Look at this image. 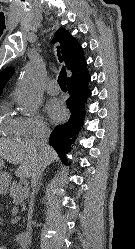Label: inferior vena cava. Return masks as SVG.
Here are the masks:
<instances>
[{
  "label": "inferior vena cava",
  "mask_w": 135,
  "mask_h": 249,
  "mask_svg": "<svg viewBox=\"0 0 135 249\" xmlns=\"http://www.w3.org/2000/svg\"><path fill=\"white\" fill-rule=\"evenodd\" d=\"M49 135H50V130H49V128H47L45 126H40L36 130V132L32 138V143L37 147V149L39 151H45L47 149ZM43 169H44V166L39 165L31 177L32 194H31V200H30L29 212H28L27 232L25 234L24 245H23L24 249H27V247L29 246V243H30V235H31V231H32L31 218H32L33 206H34V194L36 193L38 180L41 176Z\"/></svg>",
  "instance_id": "obj_1"
}]
</instances>
